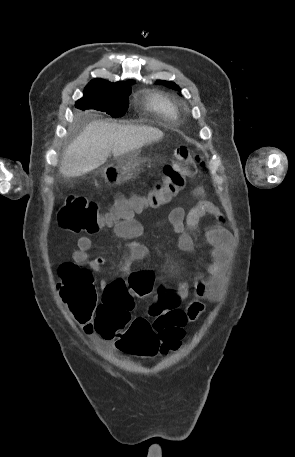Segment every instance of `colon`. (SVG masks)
<instances>
[{"instance_id":"1","label":"colon","mask_w":295,"mask_h":457,"mask_svg":"<svg viewBox=\"0 0 295 457\" xmlns=\"http://www.w3.org/2000/svg\"><path fill=\"white\" fill-rule=\"evenodd\" d=\"M199 160L191 146L175 149L171 160L163 167L162 179L146 196L117 198L107 211H102L96 202L82 196H69L58 213L60 226L70 232L97 233L121 220L132 217L147 207L168 203L194 176ZM57 284L62 301L75 319L91 321L94 331L106 340H115L123 359L152 360L153 355L181 350L187 317L172 296H163L159 304L149 309L153 322L139 317L131 319L134 305L129 289L139 295L149 293L156 284L155 275L149 270L132 273L127 284L116 280L103 292L101 302L92 275L79 264L64 263Z\"/></svg>"}]
</instances>
